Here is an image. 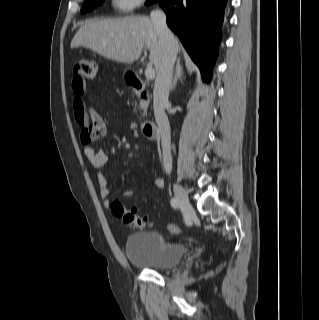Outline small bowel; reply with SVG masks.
Wrapping results in <instances>:
<instances>
[{"mask_svg": "<svg viewBox=\"0 0 319 320\" xmlns=\"http://www.w3.org/2000/svg\"><path fill=\"white\" fill-rule=\"evenodd\" d=\"M73 89L75 93L79 96L83 94L86 89L85 84L80 85L77 81L73 80ZM75 114L82 113L85 118L88 119L94 140L100 139L106 133V124L104 119L100 114H98L94 109L89 108L86 103L79 97L75 99L74 102ZM84 155L87 158L90 165L95 169L102 168L107 161V154L104 151L96 150L92 146H87L84 148ZM97 184L99 186V196L102 200H104L105 205L109 206L110 203L108 201V197L110 195V190L108 186L107 178L99 173L97 175ZM164 185V181L161 177H155L153 179V186L156 188H162ZM133 190H127L124 192V197H131L133 195Z\"/></svg>", "mask_w": 319, "mask_h": 320, "instance_id": "1", "label": "small bowel"}]
</instances>
